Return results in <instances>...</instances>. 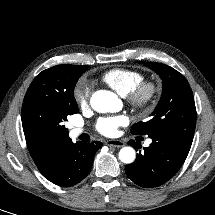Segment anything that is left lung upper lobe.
<instances>
[{
  "label": "left lung upper lobe",
  "mask_w": 215,
  "mask_h": 215,
  "mask_svg": "<svg viewBox=\"0 0 215 215\" xmlns=\"http://www.w3.org/2000/svg\"><path fill=\"white\" fill-rule=\"evenodd\" d=\"M146 65L161 77L163 91L152 118L134 124L131 133L150 138L166 137L190 148L196 125V107L187 79L165 64L150 62Z\"/></svg>",
  "instance_id": "left-lung-upper-lobe-1"
}]
</instances>
